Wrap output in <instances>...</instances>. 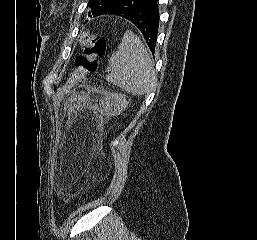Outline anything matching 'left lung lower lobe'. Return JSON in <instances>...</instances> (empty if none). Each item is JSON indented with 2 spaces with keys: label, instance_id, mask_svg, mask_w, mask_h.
<instances>
[{
  "label": "left lung lower lobe",
  "instance_id": "0a47b994",
  "mask_svg": "<svg viewBox=\"0 0 257 240\" xmlns=\"http://www.w3.org/2000/svg\"><path fill=\"white\" fill-rule=\"evenodd\" d=\"M103 14L116 15L134 24L154 54L159 26L157 0H120Z\"/></svg>",
  "mask_w": 257,
  "mask_h": 240
}]
</instances>
